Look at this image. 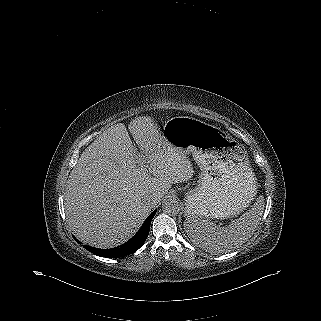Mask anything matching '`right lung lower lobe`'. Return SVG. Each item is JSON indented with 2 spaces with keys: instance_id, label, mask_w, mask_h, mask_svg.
I'll list each match as a JSON object with an SVG mask.
<instances>
[{
  "instance_id": "98d812e1",
  "label": "right lung lower lobe",
  "mask_w": 321,
  "mask_h": 321,
  "mask_svg": "<svg viewBox=\"0 0 321 321\" xmlns=\"http://www.w3.org/2000/svg\"><path fill=\"white\" fill-rule=\"evenodd\" d=\"M155 213L156 211L152 212L148 216L139 231L129 241L118 247L111 249H98L84 245V248L97 256L106 258H116L131 254L138 250L144 244L146 238L148 237L151 220L153 219Z\"/></svg>"
}]
</instances>
